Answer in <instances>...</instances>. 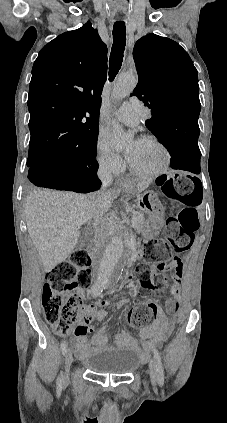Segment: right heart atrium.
Masks as SVG:
<instances>
[{
  "mask_svg": "<svg viewBox=\"0 0 227 423\" xmlns=\"http://www.w3.org/2000/svg\"><path fill=\"white\" fill-rule=\"evenodd\" d=\"M95 159L101 169L115 176L126 170L123 157L113 150L109 139L103 134H98L95 142Z\"/></svg>",
  "mask_w": 227,
  "mask_h": 423,
  "instance_id": "d8ad5b80",
  "label": "right heart atrium"
}]
</instances>
